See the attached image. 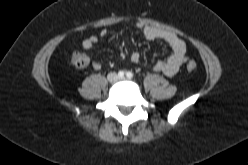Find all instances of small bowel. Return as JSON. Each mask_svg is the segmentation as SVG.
I'll return each mask as SVG.
<instances>
[{"label":"small bowel","mask_w":248,"mask_h":165,"mask_svg":"<svg viewBox=\"0 0 248 165\" xmlns=\"http://www.w3.org/2000/svg\"><path fill=\"white\" fill-rule=\"evenodd\" d=\"M137 27L142 31L144 37L148 40H162L166 42L172 49V53L167 59L157 61L153 64L152 68L155 72H162L166 76L172 77L177 74L180 67L188 60L186 54L185 42L177 34L159 29L152 25L139 23ZM108 35L107 29H102L99 35H92L82 41V48L86 51H91L93 47L99 42L100 38ZM130 60L138 64L141 61V56L138 52H132ZM91 66L95 70H100L102 65L99 61L92 59Z\"/></svg>","instance_id":"c3829d8e"}]
</instances>
